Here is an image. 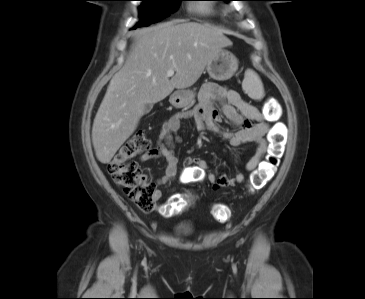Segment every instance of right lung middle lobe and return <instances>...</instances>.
<instances>
[{
    "mask_svg": "<svg viewBox=\"0 0 365 299\" xmlns=\"http://www.w3.org/2000/svg\"><path fill=\"white\" fill-rule=\"evenodd\" d=\"M144 3L140 7L141 22L134 29L141 26H149L159 22L169 16L177 9V1L180 0H142Z\"/></svg>",
    "mask_w": 365,
    "mask_h": 299,
    "instance_id": "obj_1",
    "label": "right lung middle lobe"
}]
</instances>
